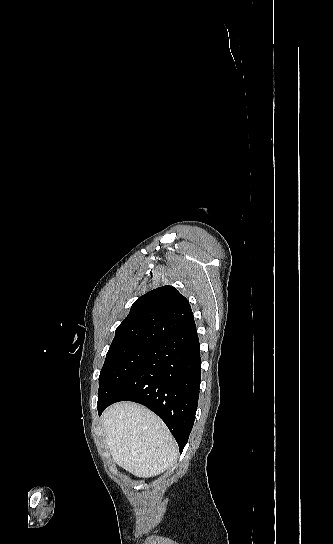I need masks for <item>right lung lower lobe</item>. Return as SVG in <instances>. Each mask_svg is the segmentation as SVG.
Instances as JSON below:
<instances>
[{"mask_svg":"<svg viewBox=\"0 0 333 544\" xmlns=\"http://www.w3.org/2000/svg\"><path fill=\"white\" fill-rule=\"evenodd\" d=\"M201 380L196 327L152 345L146 360L116 395L98 407L128 400L145 405L168 426L182 453L192 430Z\"/></svg>","mask_w":333,"mask_h":544,"instance_id":"1","label":"right lung lower lobe"}]
</instances>
